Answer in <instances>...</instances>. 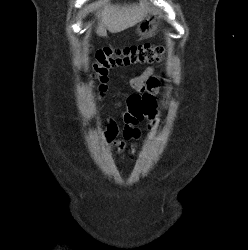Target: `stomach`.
Here are the masks:
<instances>
[{
  "label": "stomach",
  "instance_id": "stomach-1",
  "mask_svg": "<svg viewBox=\"0 0 248 250\" xmlns=\"http://www.w3.org/2000/svg\"><path fill=\"white\" fill-rule=\"evenodd\" d=\"M138 30H139L140 35H141L142 37H150V36H152L153 33H154V30H153L152 28L149 27V24H145V23L142 25V27H141V25H140V27H139Z\"/></svg>",
  "mask_w": 248,
  "mask_h": 250
}]
</instances>
